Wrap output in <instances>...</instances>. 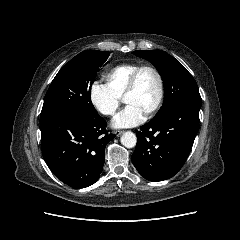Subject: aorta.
<instances>
[{"mask_svg": "<svg viewBox=\"0 0 240 240\" xmlns=\"http://www.w3.org/2000/svg\"><path fill=\"white\" fill-rule=\"evenodd\" d=\"M120 141H121V144L126 148H133L137 143V137L133 132L126 131L121 136Z\"/></svg>", "mask_w": 240, "mask_h": 240, "instance_id": "762f6f07", "label": "aorta"}]
</instances>
